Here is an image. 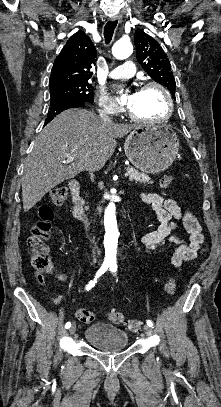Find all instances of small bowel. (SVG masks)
I'll return each instance as SVG.
<instances>
[{
  "label": "small bowel",
  "mask_w": 221,
  "mask_h": 407,
  "mask_svg": "<svg viewBox=\"0 0 221 407\" xmlns=\"http://www.w3.org/2000/svg\"><path fill=\"white\" fill-rule=\"evenodd\" d=\"M143 202L149 204L159 222L158 227L142 238V244L145 249L151 250L169 242L176 245L172 262L176 267H180L186 260L196 257L204 242V234L195 215L180 207L175 199H164L157 193H143L141 195ZM178 223H182L185 231L189 234L190 242L188 244L175 233ZM182 258V260H179ZM60 281L65 280L66 276L60 273L56 274ZM40 285L48 290L49 297L56 303H61V296L57 291L50 289L42 276H38Z\"/></svg>",
  "instance_id": "1"
}]
</instances>
